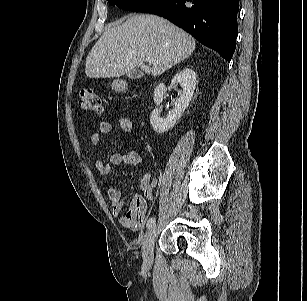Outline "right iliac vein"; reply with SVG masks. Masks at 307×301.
Returning a JSON list of instances; mask_svg holds the SVG:
<instances>
[{"label":"right iliac vein","instance_id":"63e3f726","mask_svg":"<svg viewBox=\"0 0 307 301\" xmlns=\"http://www.w3.org/2000/svg\"><path fill=\"white\" fill-rule=\"evenodd\" d=\"M157 228L153 225L149 232L146 235V238L142 247V256L144 260V264L147 266H151L153 263V246L156 237Z\"/></svg>","mask_w":307,"mask_h":301}]
</instances>
